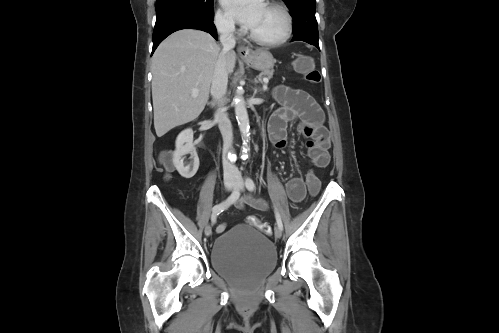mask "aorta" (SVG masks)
Listing matches in <instances>:
<instances>
[{
	"label": "aorta",
	"instance_id": "762f6f07",
	"mask_svg": "<svg viewBox=\"0 0 499 333\" xmlns=\"http://www.w3.org/2000/svg\"><path fill=\"white\" fill-rule=\"evenodd\" d=\"M233 101H234L235 115L238 121V126L242 134L243 141L246 144L250 136V125H249L247 108L241 91H236Z\"/></svg>",
	"mask_w": 499,
	"mask_h": 333
}]
</instances>
